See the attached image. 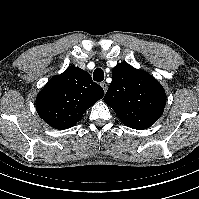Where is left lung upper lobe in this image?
I'll return each instance as SVG.
<instances>
[{"label":"left lung upper lobe","mask_w":199,"mask_h":199,"mask_svg":"<svg viewBox=\"0 0 199 199\" xmlns=\"http://www.w3.org/2000/svg\"><path fill=\"white\" fill-rule=\"evenodd\" d=\"M104 101L133 129L150 127L163 113L166 94L149 73L127 63L117 64Z\"/></svg>","instance_id":"left-lung-upper-lobe-1"}]
</instances>
